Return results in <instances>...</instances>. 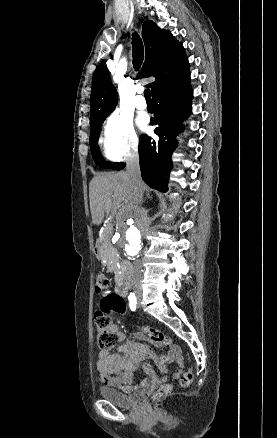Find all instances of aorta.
Returning <instances> with one entry per match:
<instances>
[{
  "label": "aorta",
  "instance_id": "1",
  "mask_svg": "<svg viewBox=\"0 0 277 438\" xmlns=\"http://www.w3.org/2000/svg\"><path fill=\"white\" fill-rule=\"evenodd\" d=\"M147 233V221L141 213L122 214L115 233L116 243L129 258H136L142 251Z\"/></svg>",
  "mask_w": 277,
  "mask_h": 438
}]
</instances>
